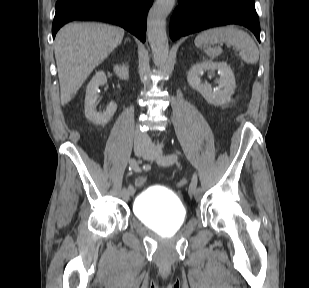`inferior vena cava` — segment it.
I'll list each match as a JSON object with an SVG mask.
<instances>
[{
	"instance_id": "inferior-vena-cava-1",
	"label": "inferior vena cava",
	"mask_w": 309,
	"mask_h": 288,
	"mask_svg": "<svg viewBox=\"0 0 309 288\" xmlns=\"http://www.w3.org/2000/svg\"><path fill=\"white\" fill-rule=\"evenodd\" d=\"M134 141H135V144H149L150 138L146 133H142L137 130L135 132Z\"/></svg>"
}]
</instances>
